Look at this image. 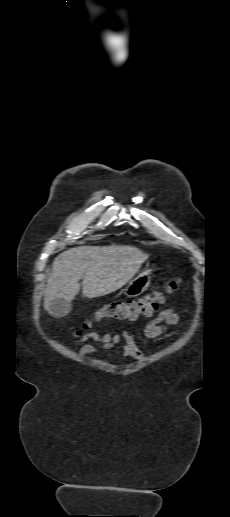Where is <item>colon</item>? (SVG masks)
Masks as SVG:
<instances>
[{
    "label": "colon",
    "instance_id": "colon-1",
    "mask_svg": "<svg viewBox=\"0 0 230 517\" xmlns=\"http://www.w3.org/2000/svg\"><path fill=\"white\" fill-rule=\"evenodd\" d=\"M178 279L169 278L165 281L162 289L155 291L137 301H114L100 307L83 324L85 329L90 328L94 322L102 319H114L119 321H134L142 316L152 315L164 302L167 295L171 294L178 285Z\"/></svg>",
    "mask_w": 230,
    "mask_h": 517
}]
</instances>
